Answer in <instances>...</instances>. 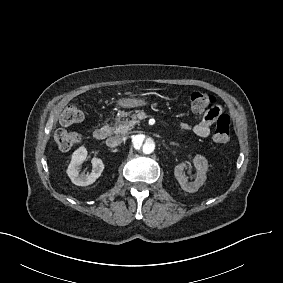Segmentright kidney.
Returning a JSON list of instances; mask_svg holds the SVG:
<instances>
[{"label":"right kidney","mask_w":283,"mask_h":283,"mask_svg":"<svg viewBox=\"0 0 283 283\" xmlns=\"http://www.w3.org/2000/svg\"><path fill=\"white\" fill-rule=\"evenodd\" d=\"M87 158V150L84 146L79 147L72 154L71 162L67 168V174L71 179L72 183L78 186H87L96 181L100 177L104 170V164L101 159L93 158L92 171L85 174L84 172L79 174L80 166Z\"/></svg>","instance_id":"ca27d5eb"}]
</instances>
